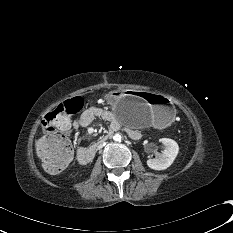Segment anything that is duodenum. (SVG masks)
Returning <instances> with one entry per match:
<instances>
[{
  "label": "duodenum",
  "mask_w": 233,
  "mask_h": 233,
  "mask_svg": "<svg viewBox=\"0 0 233 233\" xmlns=\"http://www.w3.org/2000/svg\"><path fill=\"white\" fill-rule=\"evenodd\" d=\"M114 129H111L106 134L102 135L98 141L90 147H82L78 150V160L81 164L90 163L95 157L98 148L105 142H107L113 135Z\"/></svg>",
  "instance_id": "1"
}]
</instances>
